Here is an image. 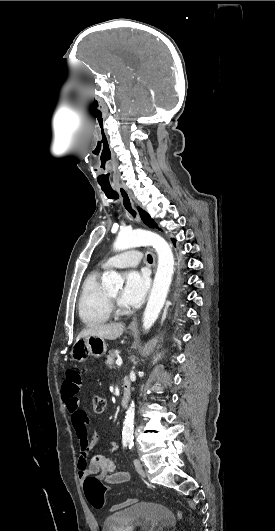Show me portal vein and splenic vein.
Returning <instances> with one entry per match:
<instances>
[{"instance_id": "portal-vein-and-splenic-vein-1", "label": "portal vein and splenic vein", "mask_w": 275, "mask_h": 531, "mask_svg": "<svg viewBox=\"0 0 275 531\" xmlns=\"http://www.w3.org/2000/svg\"><path fill=\"white\" fill-rule=\"evenodd\" d=\"M122 363H123L122 359H117L116 365H118V367H121Z\"/></svg>"}]
</instances>
